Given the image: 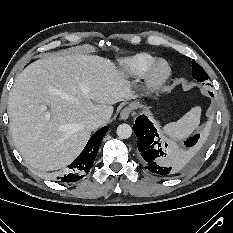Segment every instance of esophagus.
<instances>
[{
	"mask_svg": "<svg viewBox=\"0 0 233 233\" xmlns=\"http://www.w3.org/2000/svg\"><path fill=\"white\" fill-rule=\"evenodd\" d=\"M131 114V108L130 107H125L122 109L120 112V119L126 120Z\"/></svg>",
	"mask_w": 233,
	"mask_h": 233,
	"instance_id": "esophagus-1",
	"label": "esophagus"
}]
</instances>
